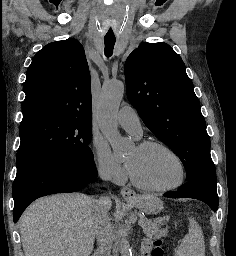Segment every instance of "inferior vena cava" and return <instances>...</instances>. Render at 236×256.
Instances as JSON below:
<instances>
[{"instance_id":"602c4592","label":"inferior vena cava","mask_w":236,"mask_h":256,"mask_svg":"<svg viewBox=\"0 0 236 256\" xmlns=\"http://www.w3.org/2000/svg\"><path fill=\"white\" fill-rule=\"evenodd\" d=\"M98 174L102 180H111L112 178V172H110L109 168H106V166H99ZM108 202V198H100V200H96L94 210H97L98 208L100 212H104ZM108 222L101 224L100 228H96L95 230L99 242L98 256H110L111 234L108 228Z\"/></svg>"}]
</instances>
